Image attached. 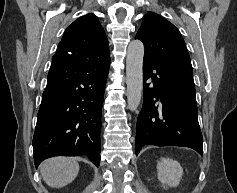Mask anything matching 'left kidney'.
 I'll list each match as a JSON object with an SVG mask.
<instances>
[{
  "label": "left kidney",
  "instance_id": "1",
  "mask_svg": "<svg viewBox=\"0 0 237 193\" xmlns=\"http://www.w3.org/2000/svg\"><path fill=\"white\" fill-rule=\"evenodd\" d=\"M158 180L170 187H177L183 176V169L179 162L170 158H162L157 164Z\"/></svg>",
  "mask_w": 237,
  "mask_h": 193
}]
</instances>
